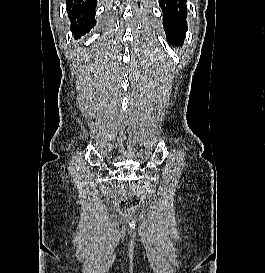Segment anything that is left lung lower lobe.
Listing matches in <instances>:
<instances>
[{
    "mask_svg": "<svg viewBox=\"0 0 265 273\" xmlns=\"http://www.w3.org/2000/svg\"><path fill=\"white\" fill-rule=\"evenodd\" d=\"M159 6L162 8L167 41L173 45H182L187 30L185 0H159Z\"/></svg>",
    "mask_w": 265,
    "mask_h": 273,
    "instance_id": "obj_1",
    "label": "left lung lower lobe"
}]
</instances>
